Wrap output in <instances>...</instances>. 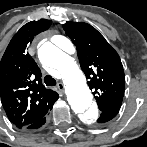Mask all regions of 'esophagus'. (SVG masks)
<instances>
[{
    "mask_svg": "<svg viewBox=\"0 0 147 147\" xmlns=\"http://www.w3.org/2000/svg\"><path fill=\"white\" fill-rule=\"evenodd\" d=\"M57 88L61 91L64 92L65 91V85L62 82H59L57 84Z\"/></svg>",
    "mask_w": 147,
    "mask_h": 147,
    "instance_id": "34e87169",
    "label": "esophagus"
}]
</instances>
